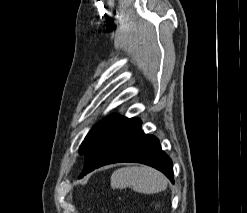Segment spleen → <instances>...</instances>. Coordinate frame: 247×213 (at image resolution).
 Masks as SVG:
<instances>
[{
    "instance_id": "obj_1",
    "label": "spleen",
    "mask_w": 247,
    "mask_h": 213,
    "mask_svg": "<svg viewBox=\"0 0 247 213\" xmlns=\"http://www.w3.org/2000/svg\"><path fill=\"white\" fill-rule=\"evenodd\" d=\"M167 178L159 171L148 166L119 168L111 176L112 188L132 189L139 193L155 194L167 188Z\"/></svg>"
}]
</instances>
